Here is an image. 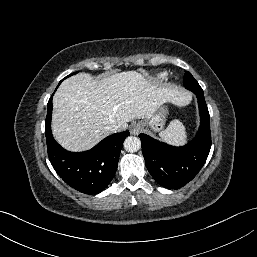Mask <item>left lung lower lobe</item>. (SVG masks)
Segmentation results:
<instances>
[{
  "mask_svg": "<svg viewBox=\"0 0 257 257\" xmlns=\"http://www.w3.org/2000/svg\"><path fill=\"white\" fill-rule=\"evenodd\" d=\"M198 99L200 127L187 145L175 147L146 134L139 135L148 171L161 186L179 189L190 182L203 167L210 148V115L203 92H194Z\"/></svg>",
  "mask_w": 257,
  "mask_h": 257,
  "instance_id": "1",
  "label": "left lung lower lobe"
}]
</instances>
